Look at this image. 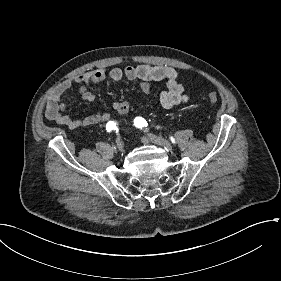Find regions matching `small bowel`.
Returning <instances> with one entry per match:
<instances>
[{
	"label": "small bowel",
	"instance_id": "small-bowel-1",
	"mask_svg": "<svg viewBox=\"0 0 281 281\" xmlns=\"http://www.w3.org/2000/svg\"><path fill=\"white\" fill-rule=\"evenodd\" d=\"M107 77L117 82L124 78L128 80L138 79L141 81V91L146 94L150 92L149 82L165 80L167 91L163 92L160 96V103L165 109H171L188 100L184 86L179 81L178 72L172 67L142 64L138 66L128 65L124 68L115 67L109 70L101 68L62 81L47 103L46 117L72 130L97 124H106L111 118L107 112L89 115L84 118L69 116L67 114V102L62 96L73 84H76L81 99L85 102H93L96 99V94L89 89L90 85L100 83ZM113 109L120 116H124L129 111V105L126 102H115Z\"/></svg>",
	"mask_w": 281,
	"mask_h": 281
}]
</instances>
